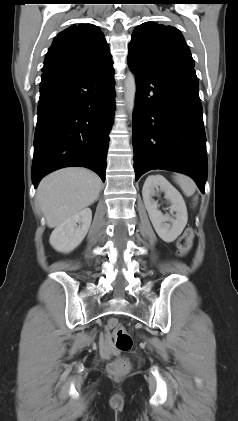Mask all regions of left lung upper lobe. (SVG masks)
Instances as JSON below:
<instances>
[{
    "mask_svg": "<svg viewBox=\"0 0 238 421\" xmlns=\"http://www.w3.org/2000/svg\"><path fill=\"white\" fill-rule=\"evenodd\" d=\"M128 52V58L152 70L185 65L194 67V60L184 37L172 26L154 22L139 25L131 36Z\"/></svg>",
    "mask_w": 238,
    "mask_h": 421,
    "instance_id": "obj_1",
    "label": "left lung upper lobe"
}]
</instances>
